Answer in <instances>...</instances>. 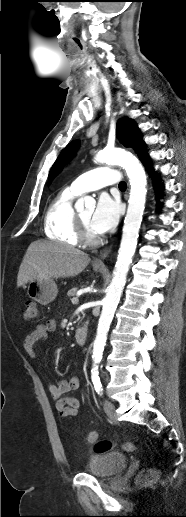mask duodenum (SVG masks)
Listing matches in <instances>:
<instances>
[{"instance_id": "1", "label": "duodenum", "mask_w": 186, "mask_h": 517, "mask_svg": "<svg viewBox=\"0 0 186 517\" xmlns=\"http://www.w3.org/2000/svg\"><path fill=\"white\" fill-rule=\"evenodd\" d=\"M88 338V327L87 324H83L80 327H78L75 331V340L78 345L84 346L87 342Z\"/></svg>"}]
</instances>
